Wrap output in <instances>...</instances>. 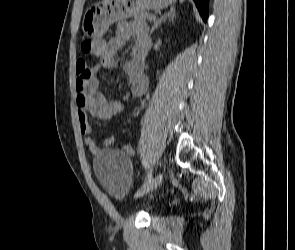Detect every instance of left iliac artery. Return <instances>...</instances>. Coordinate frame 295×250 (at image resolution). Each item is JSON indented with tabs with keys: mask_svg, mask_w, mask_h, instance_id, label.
Listing matches in <instances>:
<instances>
[{
	"mask_svg": "<svg viewBox=\"0 0 295 250\" xmlns=\"http://www.w3.org/2000/svg\"><path fill=\"white\" fill-rule=\"evenodd\" d=\"M152 171H150L143 183V185L137 190V192L135 193V197H138L142 191L148 186V184L151 182L152 180Z\"/></svg>",
	"mask_w": 295,
	"mask_h": 250,
	"instance_id": "obj_1",
	"label": "left iliac artery"
}]
</instances>
